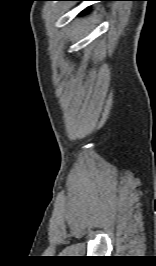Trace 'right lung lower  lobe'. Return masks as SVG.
Returning <instances> with one entry per match:
<instances>
[{"instance_id": "98d812e1", "label": "right lung lower lobe", "mask_w": 156, "mask_h": 266, "mask_svg": "<svg viewBox=\"0 0 156 266\" xmlns=\"http://www.w3.org/2000/svg\"><path fill=\"white\" fill-rule=\"evenodd\" d=\"M59 1H87V0H59Z\"/></svg>"}]
</instances>
